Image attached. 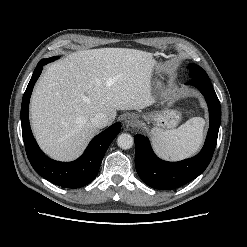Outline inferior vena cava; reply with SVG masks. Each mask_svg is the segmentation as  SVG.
I'll return each mask as SVG.
<instances>
[{"mask_svg": "<svg viewBox=\"0 0 247 247\" xmlns=\"http://www.w3.org/2000/svg\"><path fill=\"white\" fill-rule=\"evenodd\" d=\"M91 123L96 128H104L109 124V120L104 113H98L91 119Z\"/></svg>", "mask_w": 247, "mask_h": 247, "instance_id": "1", "label": "inferior vena cava"}]
</instances>
